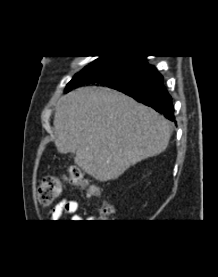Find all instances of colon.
<instances>
[{
    "mask_svg": "<svg viewBox=\"0 0 218 277\" xmlns=\"http://www.w3.org/2000/svg\"><path fill=\"white\" fill-rule=\"evenodd\" d=\"M68 182L76 187L83 189L87 196L95 197L99 195V189L88 183L83 178L81 171L76 167H69L61 175H46L38 186V201L41 205L48 206L54 203L61 195L63 183ZM113 212L110 204L104 203L100 207V213L109 215Z\"/></svg>",
    "mask_w": 218,
    "mask_h": 277,
    "instance_id": "1",
    "label": "colon"
}]
</instances>
